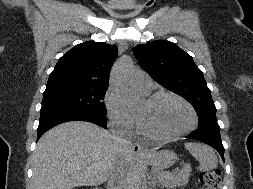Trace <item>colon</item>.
Returning <instances> with one entry per match:
<instances>
[{
  "label": "colon",
  "mask_w": 253,
  "mask_h": 189,
  "mask_svg": "<svg viewBox=\"0 0 253 189\" xmlns=\"http://www.w3.org/2000/svg\"><path fill=\"white\" fill-rule=\"evenodd\" d=\"M200 189H218L221 184L219 170L202 171L199 176Z\"/></svg>",
  "instance_id": "obj_1"
}]
</instances>
